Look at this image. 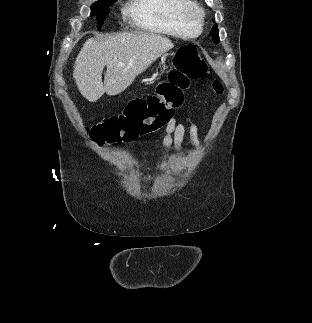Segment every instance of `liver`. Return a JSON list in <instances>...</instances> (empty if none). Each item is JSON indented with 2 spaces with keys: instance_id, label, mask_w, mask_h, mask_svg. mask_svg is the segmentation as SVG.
<instances>
[{
  "instance_id": "liver-1",
  "label": "liver",
  "mask_w": 312,
  "mask_h": 323,
  "mask_svg": "<svg viewBox=\"0 0 312 323\" xmlns=\"http://www.w3.org/2000/svg\"><path fill=\"white\" fill-rule=\"evenodd\" d=\"M172 48L174 44L169 38L145 32H123L102 36L101 40L90 38L75 60V84L88 102H97L105 92L108 96H117ZM104 66L107 70L102 82Z\"/></svg>"
}]
</instances>
